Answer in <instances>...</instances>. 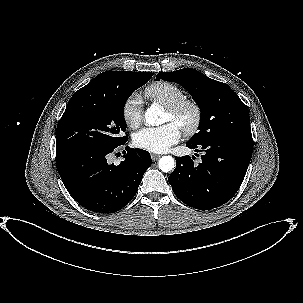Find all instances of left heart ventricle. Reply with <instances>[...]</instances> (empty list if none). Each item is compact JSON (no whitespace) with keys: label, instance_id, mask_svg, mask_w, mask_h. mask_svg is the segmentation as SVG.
<instances>
[{"label":"left heart ventricle","instance_id":"obj_1","mask_svg":"<svg viewBox=\"0 0 303 303\" xmlns=\"http://www.w3.org/2000/svg\"><path fill=\"white\" fill-rule=\"evenodd\" d=\"M191 118L192 112L189 109L183 110L177 117H172L165 111L162 122H172L180 128L181 124L189 123Z\"/></svg>","mask_w":303,"mask_h":303}]
</instances>
